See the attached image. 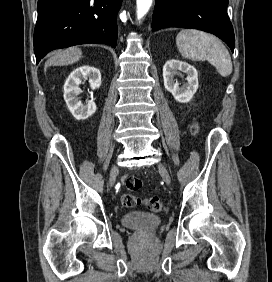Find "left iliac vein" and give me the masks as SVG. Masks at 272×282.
Segmentation results:
<instances>
[{
    "mask_svg": "<svg viewBox=\"0 0 272 282\" xmlns=\"http://www.w3.org/2000/svg\"><path fill=\"white\" fill-rule=\"evenodd\" d=\"M158 169H159V172H160L163 180L166 182V184H170L171 178H170V175H169L167 169L165 168V166L163 164H159Z\"/></svg>",
    "mask_w": 272,
    "mask_h": 282,
    "instance_id": "4c4485c4",
    "label": "left iliac vein"
}]
</instances>
